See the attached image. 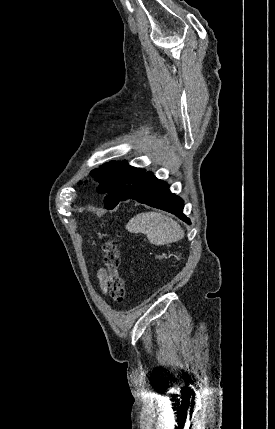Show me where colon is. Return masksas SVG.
<instances>
[{
  "label": "colon",
  "mask_w": 275,
  "mask_h": 429,
  "mask_svg": "<svg viewBox=\"0 0 275 429\" xmlns=\"http://www.w3.org/2000/svg\"><path fill=\"white\" fill-rule=\"evenodd\" d=\"M103 264L108 272L107 288L113 301L120 304L125 297V286L119 272L120 250L118 241L110 239L103 244Z\"/></svg>",
  "instance_id": "1"
}]
</instances>
